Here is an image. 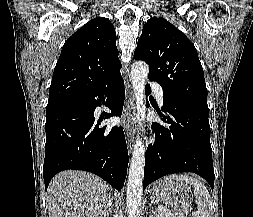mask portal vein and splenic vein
I'll return each mask as SVG.
<instances>
[{"label": "portal vein and splenic vein", "mask_w": 253, "mask_h": 217, "mask_svg": "<svg viewBox=\"0 0 253 217\" xmlns=\"http://www.w3.org/2000/svg\"><path fill=\"white\" fill-rule=\"evenodd\" d=\"M157 211H166L167 209L165 207L158 206Z\"/></svg>", "instance_id": "obj_1"}]
</instances>
